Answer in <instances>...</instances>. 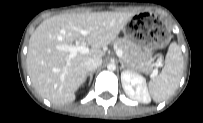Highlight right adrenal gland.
<instances>
[{
  "instance_id": "right-adrenal-gland-1",
  "label": "right adrenal gland",
  "mask_w": 203,
  "mask_h": 123,
  "mask_svg": "<svg viewBox=\"0 0 203 123\" xmlns=\"http://www.w3.org/2000/svg\"><path fill=\"white\" fill-rule=\"evenodd\" d=\"M93 74H94V71L88 72V73L86 74V78H87L88 76L90 77L89 85H90L91 82H92Z\"/></svg>"
}]
</instances>
